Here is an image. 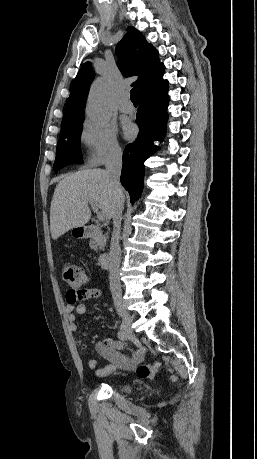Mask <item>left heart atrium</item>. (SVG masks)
<instances>
[{"label": "left heart atrium", "instance_id": "left-heart-atrium-1", "mask_svg": "<svg viewBox=\"0 0 257 459\" xmlns=\"http://www.w3.org/2000/svg\"><path fill=\"white\" fill-rule=\"evenodd\" d=\"M124 131H125V135L127 137H131L133 134H134V126L130 123L126 124L125 127H124Z\"/></svg>", "mask_w": 257, "mask_h": 459}]
</instances>
